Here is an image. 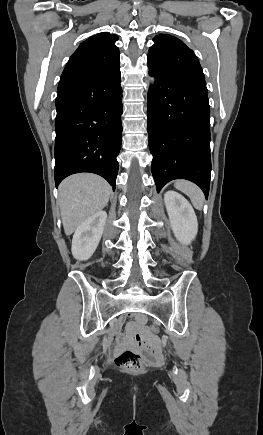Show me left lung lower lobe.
Masks as SVG:
<instances>
[{
	"mask_svg": "<svg viewBox=\"0 0 263 435\" xmlns=\"http://www.w3.org/2000/svg\"><path fill=\"white\" fill-rule=\"evenodd\" d=\"M156 82L148 93L147 130L157 191L173 179L196 183L208 197L210 107L206 85L168 76L148 64Z\"/></svg>",
	"mask_w": 263,
	"mask_h": 435,
	"instance_id": "1",
	"label": "left lung lower lobe"
}]
</instances>
